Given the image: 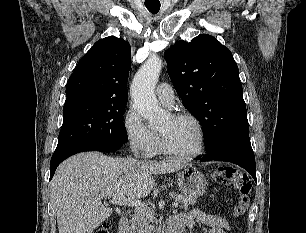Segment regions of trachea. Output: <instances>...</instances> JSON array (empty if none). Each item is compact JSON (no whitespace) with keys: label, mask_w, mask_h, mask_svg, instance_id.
Segmentation results:
<instances>
[{"label":"trachea","mask_w":306,"mask_h":233,"mask_svg":"<svg viewBox=\"0 0 306 233\" xmlns=\"http://www.w3.org/2000/svg\"><path fill=\"white\" fill-rule=\"evenodd\" d=\"M145 6L152 14L158 13L160 9V4H145Z\"/></svg>","instance_id":"obj_1"}]
</instances>
